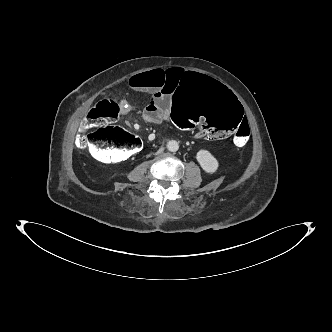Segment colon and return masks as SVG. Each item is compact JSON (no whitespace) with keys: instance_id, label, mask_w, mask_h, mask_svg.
<instances>
[{"instance_id":"colon-1","label":"colon","mask_w":332,"mask_h":332,"mask_svg":"<svg viewBox=\"0 0 332 332\" xmlns=\"http://www.w3.org/2000/svg\"><path fill=\"white\" fill-rule=\"evenodd\" d=\"M119 112L117 101L102 100L90 109L84 122L89 133L81 142L89 145L92 154L104 163L124 161L136 155L143 146L140 138L120 128L104 130L103 125L117 118ZM242 116L239 98L201 73L183 77L171 100L170 117L178 130L214 139L234 133L236 147H244L250 137V127L246 121L241 122Z\"/></svg>"}]
</instances>
